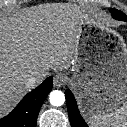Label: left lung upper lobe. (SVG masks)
<instances>
[{
	"label": "left lung upper lobe",
	"mask_w": 127,
	"mask_h": 127,
	"mask_svg": "<svg viewBox=\"0 0 127 127\" xmlns=\"http://www.w3.org/2000/svg\"><path fill=\"white\" fill-rule=\"evenodd\" d=\"M110 12L112 13V16L114 19L121 20V21H127V16L121 11L117 9H111Z\"/></svg>",
	"instance_id": "1"
}]
</instances>
